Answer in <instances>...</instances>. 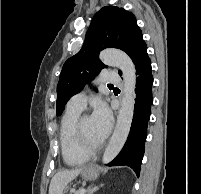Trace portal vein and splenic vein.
<instances>
[{
    "label": "portal vein and splenic vein",
    "mask_w": 201,
    "mask_h": 194,
    "mask_svg": "<svg viewBox=\"0 0 201 194\" xmlns=\"http://www.w3.org/2000/svg\"><path fill=\"white\" fill-rule=\"evenodd\" d=\"M86 190L85 189H82L81 190V194H85Z\"/></svg>",
    "instance_id": "1"
}]
</instances>
